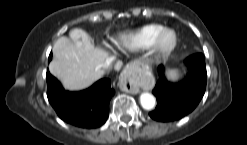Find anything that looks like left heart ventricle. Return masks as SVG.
I'll return each instance as SVG.
<instances>
[{
	"mask_svg": "<svg viewBox=\"0 0 247 145\" xmlns=\"http://www.w3.org/2000/svg\"><path fill=\"white\" fill-rule=\"evenodd\" d=\"M171 35L170 34H167L164 38H163V44L167 45L171 42Z\"/></svg>",
	"mask_w": 247,
	"mask_h": 145,
	"instance_id": "obj_1",
	"label": "left heart ventricle"
}]
</instances>
